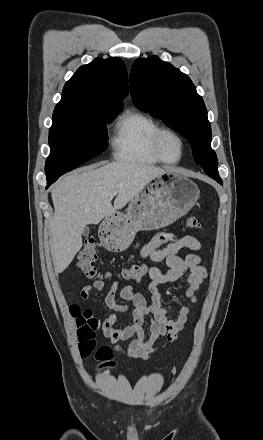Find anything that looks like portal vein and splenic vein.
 Listing matches in <instances>:
<instances>
[{"instance_id":"portal-vein-and-splenic-vein-1","label":"portal vein and splenic vein","mask_w":263,"mask_h":440,"mask_svg":"<svg viewBox=\"0 0 263 440\" xmlns=\"http://www.w3.org/2000/svg\"><path fill=\"white\" fill-rule=\"evenodd\" d=\"M117 194V192H112V193H110V198H113L115 195Z\"/></svg>"}]
</instances>
